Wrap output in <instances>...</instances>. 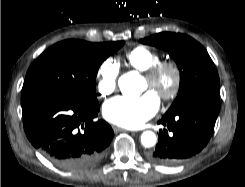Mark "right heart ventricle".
Wrapping results in <instances>:
<instances>
[{
	"label": "right heart ventricle",
	"instance_id": "1",
	"mask_svg": "<svg viewBox=\"0 0 245 187\" xmlns=\"http://www.w3.org/2000/svg\"><path fill=\"white\" fill-rule=\"evenodd\" d=\"M125 58L131 67L145 72L161 60V54L147 46L138 45L128 49Z\"/></svg>",
	"mask_w": 245,
	"mask_h": 187
}]
</instances>
